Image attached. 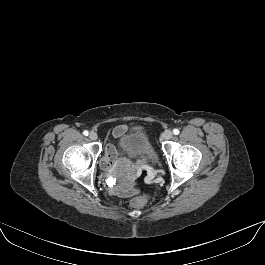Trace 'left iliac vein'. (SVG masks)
Returning a JSON list of instances; mask_svg holds the SVG:
<instances>
[{
  "label": "left iliac vein",
  "mask_w": 265,
  "mask_h": 265,
  "mask_svg": "<svg viewBox=\"0 0 265 265\" xmlns=\"http://www.w3.org/2000/svg\"><path fill=\"white\" fill-rule=\"evenodd\" d=\"M162 137L164 140H170L173 137V133L170 130H166L163 134Z\"/></svg>",
  "instance_id": "4c4485c4"
}]
</instances>
